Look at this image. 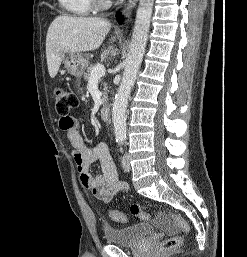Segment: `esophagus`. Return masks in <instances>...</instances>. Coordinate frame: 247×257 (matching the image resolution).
I'll list each match as a JSON object with an SVG mask.
<instances>
[{
    "label": "esophagus",
    "instance_id": "1",
    "mask_svg": "<svg viewBox=\"0 0 247 257\" xmlns=\"http://www.w3.org/2000/svg\"><path fill=\"white\" fill-rule=\"evenodd\" d=\"M138 0H128L125 8H124V14L127 16H130L133 9L135 8Z\"/></svg>",
    "mask_w": 247,
    "mask_h": 257
}]
</instances>
